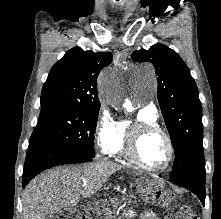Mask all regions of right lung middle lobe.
Masks as SVG:
<instances>
[{"label":"right lung middle lobe","mask_w":221,"mask_h":219,"mask_svg":"<svg viewBox=\"0 0 221 219\" xmlns=\"http://www.w3.org/2000/svg\"><path fill=\"white\" fill-rule=\"evenodd\" d=\"M41 107L29 147L41 143L76 155L95 157L94 133L100 106L51 103Z\"/></svg>","instance_id":"dd1d6c3e"}]
</instances>
